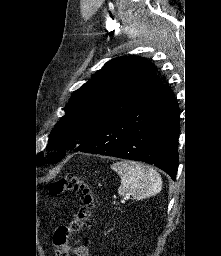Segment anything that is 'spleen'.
<instances>
[{"instance_id": "1", "label": "spleen", "mask_w": 221, "mask_h": 256, "mask_svg": "<svg viewBox=\"0 0 221 256\" xmlns=\"http://www.w3.org/2000/svg\"><path fill=\"white\" fill-rule=\"evenodd\" d=\"M111 168L121 178L118 188L120 196H132L134 200H142L158 194L162 189L159 173L150 166L134 161L114 163Z\"/></svg>"}]
</instances>
